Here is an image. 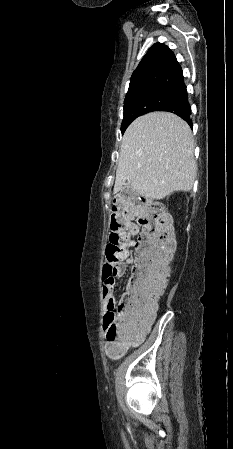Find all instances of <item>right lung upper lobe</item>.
Returning a JSON list of instances; mask_svg holds the SVG:
<instances>
[{"label":"right lung upper lobe","mask_w":233,"mask_h":449,"mask_svg":"<svg viewBox=\"0 0 233 449\" xmlns=\"http://www.w3.org/2000/svg\"><path fill=\"white\" fill-rule=\"evenodd\" d=\"M157 87L180 90L186 87L182 68L174 53L161 43L149 48L131 77L126 95Z\"/></svg>","instance_id":"obj_1"}]
</instances>
